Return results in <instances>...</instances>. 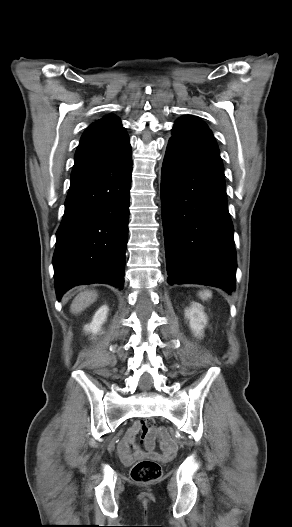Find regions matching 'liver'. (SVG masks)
I'll return each mask as SVG.
<instances>
[{"mask_svg":"<svg viewBox=\"0 0 292 527\" xmlns=\"http://www.w3.org/2000/svg\"><path fill=\"white\" fill-rule=\"evenodd\" d=\"M97 292L94 290H85L79 293L71 304V312L74 314L80 313L85 308L93 304L97 299Z\"/></svg>","mask_w":292,"mask_h":527,"instance_id":"obj_1","label":"liver"}]
</instances>
